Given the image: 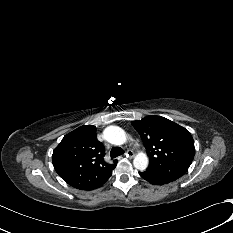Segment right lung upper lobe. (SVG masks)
I'll use <instances>...</instances> for the list:
<instances>
[{
  "label": "right lung upper lobe",
  "instance_id": "1",
  "mask_svg": "<svg viewBox=\"0 0 233 233\" xmlns=\"http://www.w3.org/2000/svg\"><path fill=\"white\" fill-rule=\"evenodd\" d=\"M103 144L96 138V127L81 126L64 136L52 155L58 175L70 186L93 190L102 186L117 165L104 161Z\"/></svg>",
  "mask_w": 233,
  "mask_h": 233
}]
</instances>
